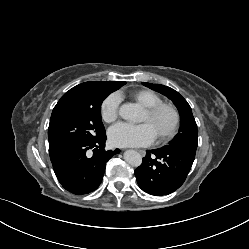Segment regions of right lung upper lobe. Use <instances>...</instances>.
Wrapping results in <instances>:
<instances>
[{
    "instance_id": "obj_1",
    "label": "right lung upper lobe",
    "mask_w": 249,
    "mask_h": 249,
    "mask_svg": "<svg viewBox=\"0 0 249 249\" xmlns=\"http://www.w3.org/2000/svg\"><path fill=\"white\" fill-rule=\"evenodd\" d=\"M125 83L126 82L123 81H112V82L96 81V82L81 83L70 89L62 96V98L58 101V103L54 107L51 118L61 109L66 107L68 104L79 99L80 96L87 90L102 88V89H108L113 92L122 87Z\"/></svg>"
}]
</instances>
